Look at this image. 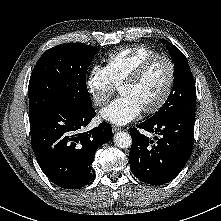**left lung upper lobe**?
Wrapping results in <instances>:
<instances>
[{"instance_id":"left-lung-upper-lobe-1","label":"left lung upper lobe","mask_w":221,"mask_h":221,"mask_svg":"<svg viewBox=\"0 0 221 221\" xmlns=\"http://www.w3.org/2000/svg\"><path fill=\"white\" fill-rule=\"evenodd\" d=\"M161 41L166 44L172 61L175 64L174 83L172 91L164 105L148 120L160 121L182 113L195 116L196 89L187 59L172 43L163 39Z\"/></svg>"}]
</instances>
